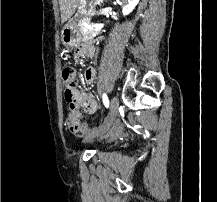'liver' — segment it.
<instances>
[{
	"label": "liver",
	"mask_w": 217,
	"mask_h": 202,
	"mask_svg": "<svg viewBox=\"0 0 217 202\" xmlns=\"http://www.w3.org/2000/svg\"><path fill=\"white\" fill-rule=\"evenodd\" d=\"M80 0H59L61 12V24L67 22L75 14Z\"/></svg>",
	"instance_id": "6515ba94"
}]
</instances>
